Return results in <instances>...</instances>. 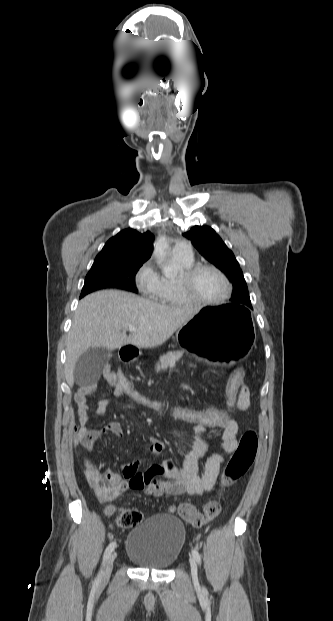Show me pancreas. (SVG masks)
I'll return each instance as SVG.
<instances>
[{
	"label": "pancreas",
	"instance_id": "1",
	"mask_svg": "<svg viewBox=\"0 0 333 621\" xmlns=\"http://www.w3.org/2000/svg\"><path fill=\"white\" fill-rule=\"evenodd\" d=\"M183 355L182 351H169L166 354L160 356L159 362L156 365V371L160 372L167 368H173L176 365V361Z\"/></svg>",
	"mask_w": 333,
	"mask_h": 621
}]
</instances>
